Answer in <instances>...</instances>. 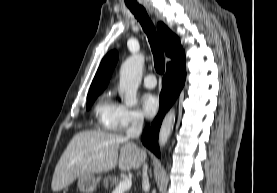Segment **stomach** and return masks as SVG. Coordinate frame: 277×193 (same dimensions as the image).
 I'll use <instances>...</instances> for the list:
<instances>
[{"instance_id":"0dacf381","label":"stomach","mask_w":277,"mask_h":193,"mask_svg":"<svg viewBox=\"0 0 277 193\" xmlns=\"http://www.w3.org/2000/svg\"><path fill=\"white\" fill-rule=\"evenodd\" d=\"M99 182L100 178L87 174L78 178L77 186L82 193H93Z\"/></svg>"}]
</instances>
